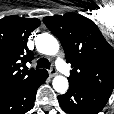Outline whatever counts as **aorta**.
Masks as SVG:
<instances>
[{"label": "aorta", "instance_id": "aorta-1", "mask_svg": "<svg viewBox=\"0 0 114 114\" xmlns=\"http://www.w3.org/2000/svg\"><path fill=\"white\" fill-rule=\"evenodd\" d=\"M35 44L37 50L42 54L56 55L59 51L57 39L48 33L38 35ZM52 84L54 90L61 94L65 93L69 87L67 78L61 75L54 77Z\"/></svg>", "mask_w": 114, "mask_h": 114}]
</instances>
